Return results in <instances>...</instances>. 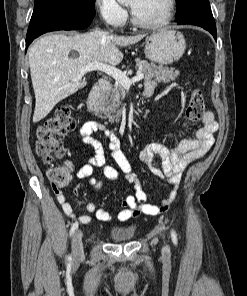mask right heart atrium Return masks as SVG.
<instances>
[{
    "label": "right heart atrium",
    "instance_id": "right-heart-atrium-1",
    "mask_svg": "<svg viewBox=\"0 0 247 296\" xmlns=\"http://www.w3.org/2000/svg\"><path fill=\"white\" fill-rule=\"evenodd\" d=\"M94 2L103 21L114 27H119L125 23L127 12L117 0H95Z\"/></svg>",
    "mask_w": 247,
    "mask_h": 296
}]
</instances>
